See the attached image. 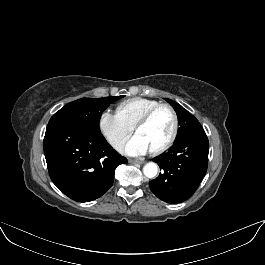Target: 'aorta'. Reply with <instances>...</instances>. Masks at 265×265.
Returning a JSON list of instances; mask_svg holds the SVG:
<instances>
[{
  "instance_id": "aorta-1",
  "label": "aorta",
  "mask_w": 265,
  "mask_h": 265,
  "mask_svg": "<svg viewBox=\"0 0 265 265\" xmlns=\"http://www.w3.org/2000/svg\"><path fill=\"white\" fill-rule=\"evenodd\" d=\"M143 173L146 177L148 178H153L157 175L158 173V166L157 164L153 162H149L144 165L143 167Z\"/></svg>"
}]
</instances>
